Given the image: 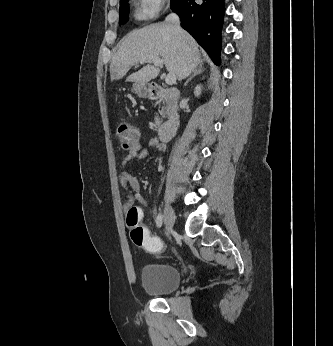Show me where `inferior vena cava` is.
Here are the masks:
<instances>
[{
	"instance_id": "1",
	"label": "inferior vena cava",
	"mask_w": 333,
	"mask_h": 346,
	"mask_svg": "<svg viewBox=\"0 0 333 346\" xmlns=\"http://www.w3.org/2000/svg\"><path fill=\"white\" fill-rule=\"evenodd\" d=\"M166 22L171 24L176 30L181 31L180 19L175 13H171L166 17Z\"/></svg>"
}]
</instances>
